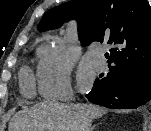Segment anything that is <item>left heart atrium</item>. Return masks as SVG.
<instances>
[{"mask_svg": "<svg viewBox=\"0 0 151 131\" xmlns=\"http://www.w3.org/2000/svg\"><path fill=\"white\" fill-rule=\"evenodd\" d=\"M91 80V77L89 73L85 69H81L79 72V83L81 86L86 87L88 86L89 82Z\"/></svg>", "mask_w": 151, "mask_h": 131, "instance_id": "obj_1", "label": "left heart atrium"}]
</instances>
